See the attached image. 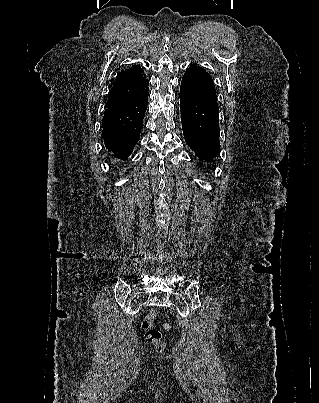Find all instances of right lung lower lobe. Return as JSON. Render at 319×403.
I'll use <instances>...</instances> for the list:
<instances>
[{"instance_id":"right-lung-lower-lobe-1","label":"right lung lower lobe","mask_w":319,"mask_h":403,"mask_svg":"<svg viewBox=\"0 0 319 403\" xmlns=\"http://www.w3.org/2000/svg\"><path fill=\"white\" fill-rule=\"evenodd\" d=\"M148 100V91L124 104L106 108L102 119V138L106 149L126 160L140 138Z\"/></svg>"}]
</instances>
